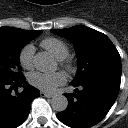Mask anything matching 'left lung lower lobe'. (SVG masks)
Wrapping results in <instances>:
<instances>
[{"instance_id": "1", "label": "left lung lower lobe", "mask_w": 128, "mask_h": 128, "mask_svg": "<svg viewBox=\"0 0 128 128\" xmlns=\"http://www.w3.org/2000/svg\"><path fill=\"white\" fill-rule=\"evenodd\" d=\"M121 72L100 70L81 82L71 83L75 93L65 94L68 107L57 114L71 128H90L99 123L114 104L120 88Z\"/></svg>"}]
</instances>
